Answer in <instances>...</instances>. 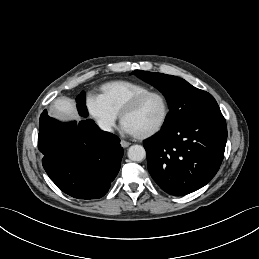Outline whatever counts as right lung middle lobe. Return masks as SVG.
Here are the masks:
<instances>
[{
  "instance_id": "right-lung-middle-lobe-1",
  "label": "right lung middle lobe",
  "mask_w": 259,
  "mask_h": 259,
  "mask_svg": "<svg viewBox=\"0 0 259 259\" xmlns=\"http://www.w3.org/2000/svg\"><path fill=\"white\" fill-rule=\"evenodd\" d=\"M77 101V107H78V111L85 114V116L88 115L87 113V108L85 106V92H81V94H79L76 98Z\"/></svg>"
}]
</instances>
